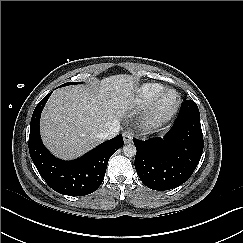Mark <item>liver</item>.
Masks as SVG:
<instances>
[{"label":"liver","instance_id":"liver-1","mask_svg":"<svg viewBox=\"0 0 243 243\" xmlns=\"http://www.w3.org/2000/svg\"><path fill=\"white\" fill-rule=\"evenodd\" d=\"M135 78L119 74L97 81L93 89H57L41 116L44 144L59 158L74 159L102 142L98 137L120 123L134 96Z\"/></svg>","mask_w":243,"mask_h":243}]
</instances>
